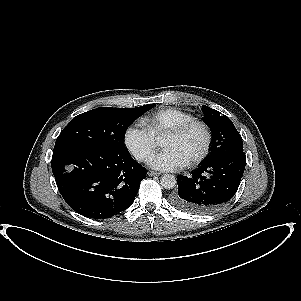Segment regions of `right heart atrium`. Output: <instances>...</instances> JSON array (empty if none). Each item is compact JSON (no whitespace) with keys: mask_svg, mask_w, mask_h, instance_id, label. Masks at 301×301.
Wrapping results in <instances>:
<instances>
[{"mask_svg":"<svg viewBox=\"0 0 301 301\" xmlns=\"http://www.w3.org/2000/svg\"><path fill=\"white\" fill-rule=\"evenodd\" d=\"M125 145L141 161H145L157 148L152 134L146 129L135 126H130L126 130Z\"/></svg>","mask_w":301,"mask_h":301,"instance_id":"obj_1","label":"right heart atrium"}]
</instances>
